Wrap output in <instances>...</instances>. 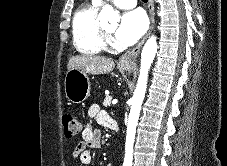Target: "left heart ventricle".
I'll list each match as a JSON object with an SVG mask.
<instances>
[{"mask_svg":"<svg viewBox=\"0 0 227 166\" xmlns=\"http://www.w3.org/2000/svg\"><path fill=\"white\" fill-rule=\"evenodd\" d=\"M114 27H115V26L106 25V26H104V29L111 33V32H113Z\"/></svg>","mask_w":227,"mask_h":166,"instance_id":"left-heart-ventricle-1","label":"left heart ventricle"}]
</instances>
